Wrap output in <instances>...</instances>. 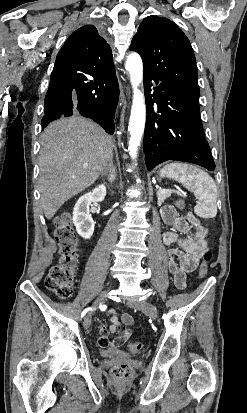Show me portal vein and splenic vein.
<instances>
[{"mask_svg": "<svg viewBox=\"0 0 247 413\" xmlns=\"http://www.w3.org/2000/svg\"><path fill=\"white\" fill-rule=\"evenodd\" d=\"M165 190H170V188H159V192H165ZM176 191H177L176 193H178L179 197H185V199H188V196H186L185 192H183L182 190H176Z\"/></svg>", "mask_w": 247, "mask_h": 413, "instance_id": "1", "label": "portal vein and splenic vein"}]
</instances>
